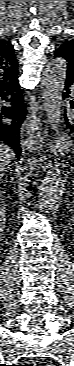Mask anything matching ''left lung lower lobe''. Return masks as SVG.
<instances>
[{"mask_svg": "<svg viewBox=\"0 0 74 366\" xmlns=\"http://www.w3.org/2000/svg\"><path fill=\"white\" fill-rule=\"evenodd\" d=\"M64 90L66 91V93L63 95V98L71 97L72 100L70 101V105L74 109V72L72 71L67 70L66 72V81ZM64 118L67 123V127L74 134V117L68 119V117L65 114Z\"/></svg>", "mask_w": 74, "mask_h": 366, "instance_id": "1", "label": "left lung lower lobe"}]
</instances>
